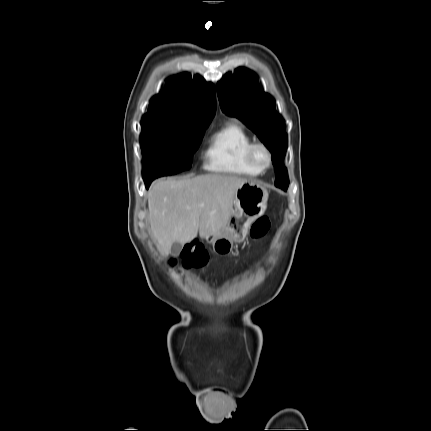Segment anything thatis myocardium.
Returning a JSON list of instances; mask_svg holds the SVG:
<instances>
[{"instance_id": "f54148a6", "label": "myocardium", "mask_w": 431, "mask_h": 431, "mask_svg": "<svg viewBox=\"0 0 431 431\" xmlns=\"http://www.w3.org/2000/svg\"><path fill=\"white\" fill-rule=\"evenodd\" d=\"M258 151H262L265 154V160L260 161L257 157ZM246 158L248 162L254 167L258 168L261 171H264L271 167L273 157L271 150L262 142H252L246 151Z\"/></svg>"}]
</instances>
